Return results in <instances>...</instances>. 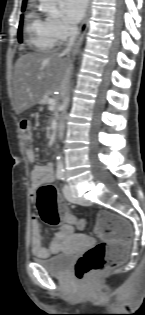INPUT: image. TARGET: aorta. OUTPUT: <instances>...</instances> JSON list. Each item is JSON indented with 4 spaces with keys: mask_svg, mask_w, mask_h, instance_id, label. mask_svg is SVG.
<instances>
[{
    "mask_svg": "<svg viewBox=\"0 0 145 315\" xmlns=\"http://www.w3.org/2000/svg\"><path fill=\"white\" fill-rule=\"evenodd\" d=\"M40 1V9L43 12H48V13H57V5L56 2L57 0H39ZM69 96L65 97L62 105H61V109H62V119L59 122V139L62 140L63 136H64V127H65V115H66V111L68 109V105H69ZM64 173V166H63V161H62V156L59 155L57 157V174L59 175H63Z\"/></svg>",
    "mask_w": 145,
    "mask_h": 315,
    "instance_id": "762f6f07",
    "label": "aorta"
}]
</instances>
